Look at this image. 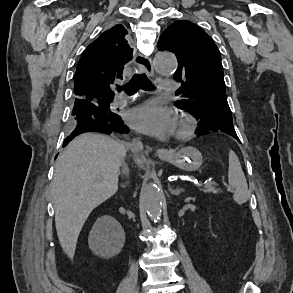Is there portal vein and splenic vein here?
<instances>
[{
	"label": "portal vein and splenic vein",
	"instance_id": "1",
	"mask_svg": "<svg viewBox=\"0 0 293 293\" xmlns=\"http://www.w3.org/2000/svg\"><path fill=\"white\" fill-rule=\"evenodd\" d=\"M194 185H195V186H199V183H198V182H194Z\"/></svg>",
	"mask_w": 293,
	"mask_h": 293
}]
</instances>
